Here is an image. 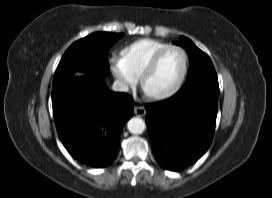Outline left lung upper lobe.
I'll return each instance as SVG.
<instances>
[{
    "label": "left lung upper lobe",
    "mask_w": 272,
    "mask_h": 198,
    "mask_svg": "<svg viewBox=\"0 0 272 198\" xmlns=\"http://www.w3.org/2000/svg\"><path fill=\"white\" fill-rule=\"evenodd\" d=\"M176 44L182 46L189 55L188 81L197 77L216 75V71L208 55L198 49L190 39L181 36L180 42H176Z\"/></svg>",
    "instance_id": "obj_1"
}]
</instances>
